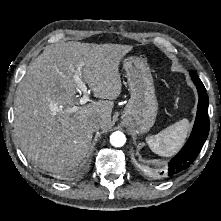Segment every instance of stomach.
Instances as JSON below:
<instances>
[{
  "mask_svg": "<svg viewBox=\"0 0 221 221\" xmlns=\"http://www.w3.org/2000/svg\"><path fill=\"white\" fill-rule=\"evenodd\" d=\"M131 93L122 118L132 121L137 134L150 130L158 112L153 77L147 62L139 57H128L123 61Z\"/></svg>",
  "mask_w": 221,
  "mask_h": 221,
  "instance_id": "stomach-1",
  "label": "stomach"
}]
</instances>
